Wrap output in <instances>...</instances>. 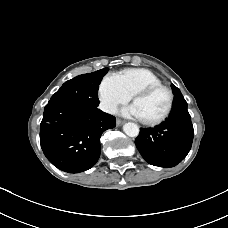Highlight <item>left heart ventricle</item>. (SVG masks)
I'll list each match as a JSON object with an SVG mask.
<instances>
[{
	"instance_id": "obj_1",
	"label": "left heart ventricle",
	"mask_w": 228,
	"mask_h": 228,
	"mask_svg": "<svg viewBox=\"0 0 228 228\" xmlns=\"http://www.w3.org/2000/svg\"><path fill=\"white\" fill-rule=\"evenodd\" d=\"M142 119H154L160 116L168 105V94L160 89L134 101Z\"/></svg>"
}]
</instances>
